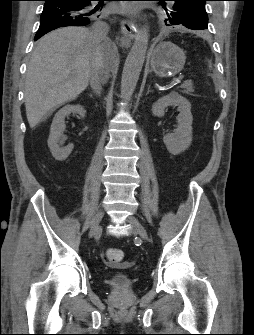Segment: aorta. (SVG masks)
<instances>
[{
	"instance_id": "762f6f07",
	"label": "aorta",
	"mask_w": 254,
	"mask_h": 335,
	"mask_svg": "<svg viewBox=\"0 0 254 335\" xmlns=\"http://www.w3.org/2000/svg\"><path fill=\"white\" fill-rule=\"evenodd\" d=\"M149 41V27L144 25L137 33L132 48L126 58L122 78L121 96L129 100L134 93L145 61Z\"/></svg>"
}]
</instances>
